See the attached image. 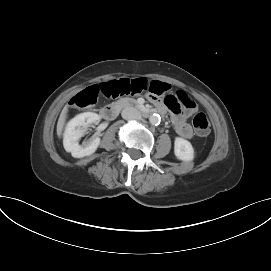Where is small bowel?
Segmentation results:
<instances>
[{
	"mask_svg": "<svg viewBox=\"0 0 271 271\" xmlns=\"http://www.w3.org/2000/svg\"><path fill=\"white\" fill-rule=\"evenodd\" d=\"M148 99L155 104L161 106V100L154 95H166L167 81L166 80H151L150 86L147 88ZM173 123L176 132L179 136L185 139H190L193 136L191 126L185 121L184 117L180 114L173 115Z\"/></svg>",
	"mask_w": 271,
	"mask_h": 271,
	"instance_id": "1",
	"label": "small bowel"
}]
</instances>
